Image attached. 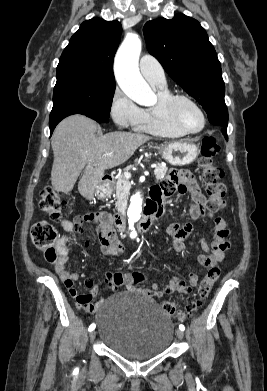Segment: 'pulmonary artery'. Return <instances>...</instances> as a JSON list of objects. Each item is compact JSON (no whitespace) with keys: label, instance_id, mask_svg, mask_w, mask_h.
Wrapping results in <instances>:
<instances>
[{"label":"pulmonary artery","instance_id":"pulmonary-artery-1","mask_svg":"<svg viewBox=\"0 0 267 391\" xmlns=\"http://www.w3.org/2000/svg\"><path fill=\"white\" fill-rule=\"evenodd\" d=\"M139 68L142 75L151 86L166 87L167 82L164 69L155 57L149 54L143 55L139 62Z\"/></svg>","mask_w":267,"mask_h":391}]
</instances>
